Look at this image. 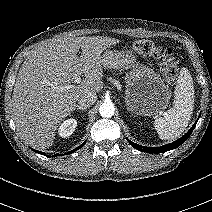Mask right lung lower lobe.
Listing matches in <instances>:
<instances>
[{
	"label": "right lung lower lobe",
	"instance_id": "right-lung-lower-lobe-1",
	"mask_svg": "<svg viewBox=\"0 0 212 212\" xmlns=\"http://www.w3.org/2000/svg\"><path fill=\"white\" fill-rule=\"evenodd\" d=\"M84 144H85V142H84L82 145L78 146L77 148L71 150V151L68 152V153H73L74 151L80 149ZM31 149H32L34 152H37V153L42 154V155H45L44 152L37 151V150H35V149H33V148H31ZM68 153H67V154H68ZM58 155H59V154H55L54 157H55V156H58Z\"/></svg>",
	"mask_w": 212,
	"mask_h": 212
}]
</instances>
